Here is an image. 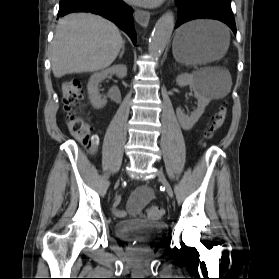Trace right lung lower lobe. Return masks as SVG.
<instances>
[{"label": "right lung lower lobe", "instance_id": "obj_1", "mask_svg": "<svg viewBox=\"0 0 279 279\" xmlns=\"http://www.w3.org/2000/svg\"><path fill=\"white\" fill-rule=\"evenodd\" d=\"M72 12H91L101 15L124 30L136 42L132 8L122 0H60L58 16Z\"/></svg>", "mask_w": 279, "mask_h": 279}]
</instances>
